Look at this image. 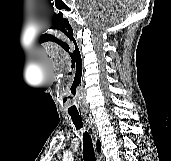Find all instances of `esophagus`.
I'll list each match as a JSON object with an SVG mask.
<instances>
[{"instance_id": "1", "label": "esophagus", "mask_w": 171, "mask_h": 161, "mask_svg": "<svg viewBox=\"0 0 171 161\" xmlns=\"http://www.w3.org/2000/svg\"><path fill=\"white\" fill-rule=\"evenodd\" d=\"M85 118H86L87 123L89 124V127L92 129V136L96 140V138H97V131L95 129L92 117L85 115Z\"/></svg>"}]
</instances>
